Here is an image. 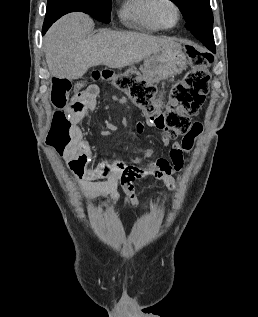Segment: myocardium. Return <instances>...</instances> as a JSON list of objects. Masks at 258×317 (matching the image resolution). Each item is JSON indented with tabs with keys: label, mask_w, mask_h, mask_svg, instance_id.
I'll use <instances>...</instances> for the list:
<instances>
[{
	"label": "myocardium",
	"mask_w": 258,
	"mask_h": 317,
	"mask_svg": "<svg viewBox=\"0 0 258 317\" xmlns=\"http://www.w3.org/2000/svg\"><path fill=\"white\" fill-rule=\"evenodd\" d=\"M164 4H171L175 9L176 17L172 23H164L158 15L160 7ZM153 18H154L156 24L161 29H170V28L174 27L180 19V9H179L178 4L173 0H157L156 4L154 6V10H153Z\"/></svg>",
	"instance_id": "f54148a6"
}]
</instances>
